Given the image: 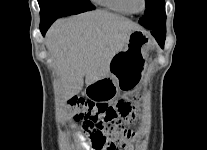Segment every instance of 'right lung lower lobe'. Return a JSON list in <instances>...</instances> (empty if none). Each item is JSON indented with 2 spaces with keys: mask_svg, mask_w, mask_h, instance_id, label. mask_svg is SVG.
Returning <instances> with one entry per match:
<instances>
[{
  "mask_svg": "<svg viewBox=\"0 0 207 150\" xmlns=\"http://www.w3.org/2000/svg\"><path fill=\"white\" fill-rule=\"evenodd\" d=\"M54 21L55 20H50V21H43L40 23V30L43 36L45 35L46 31Z\"/></svg>",
  "mask_w": 207,
  "mask_h": 150,
  "instance_id": "1",
  "label": "right lung lower lobe"
}]
</instances>
